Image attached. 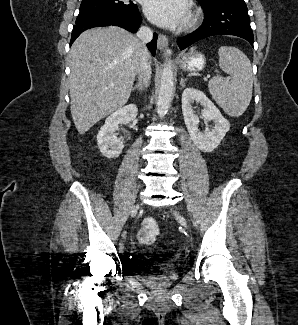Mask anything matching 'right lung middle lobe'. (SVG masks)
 Here are the masks:
<instances>
[{
    "label": "right lung middle lobe",
    "instance_id": "obj_1",
    "mask_svg": "<svg viewBox=\"0 0 298 325\" xmlns=\"http://www.w3.org/2000/svg\"><path fill=\"white\" fill-rule=\"evenodd\" d=\"M131 0H82L79 15L111 10H137Z\"/></svg>",
    "mask_w": 298,
    "mask_h": 325
}]
</instances>
